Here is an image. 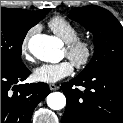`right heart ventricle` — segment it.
<instances>
[{"label":"right heart ventricle","instance_id":"1","mask_svg":"<svg viewBox=\"0 0 123 123\" xmlns=\"http://www.w3.org/2000/svg\"><path fill=\"white\" fill-rule=\"evenodd\" d=\"M51 31L61 38L65 43L79 36V29L62 16L52 18L48 23Z\"/></svg>","mask_w":123,"mask_h":123}]
</instances>
